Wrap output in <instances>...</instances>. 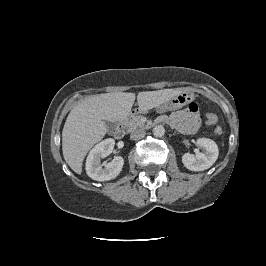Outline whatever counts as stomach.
<instances>
[{"label":"stomach","instance_id":"stomach-1","mask_svg":"<svg viewBox=\"0 0 266 266\" xmlns=\"http://www.w3.org/2000/svg\"><path fill=\"white\" fill-rule=\"evenodd\" d=\"M193 98V94L188 90H182L179 94L170 98L157 107L159 112L173 110L187 104Z\"/></svg>","mask_w":266,"mask_h":266}]
</instances>
